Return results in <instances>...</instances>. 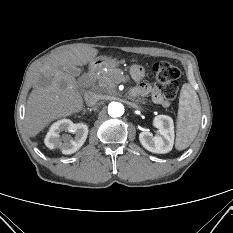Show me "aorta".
Here are the masks:
<instances>
[{
	"instance_id": "aorta-1",
	"label": "aorta",
	"mask_w": 233,
	"mask_h": 233,
	"mask_svg": "<svg viewBox=\"0 0 233 233\" xmlns=\"http://www.w3.org/2000/svg\"><path fill=\"white\" fill-rule=\"evenodd\" d=\"M108 114L111 117H120L124 113V106L120 102L112 101L108 104Z\"/></svg>"
}]
</instances>
